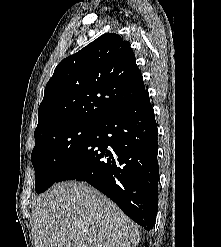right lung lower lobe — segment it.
Listing matches in <instances>:
<instances>
[{
  "instance_id": "98d812e1",
  "label": "right lung lower lobe",
  "mask_w": 221,
  "mask_h": 247,
  "mask_svg": "<svg viewBox=\"0 0 221 247\" xmlns=\"http://www.w3.org/2000/svg\"><path fill=\"white\" fill-rule=\"evenodd\" d=\"M157 124L147 90L106 115L55 182L85 181L146 230L158 207Z\"/></svg>"
}]
</instances>
